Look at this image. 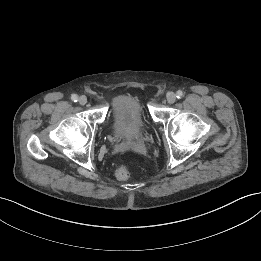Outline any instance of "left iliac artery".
Listing matches in <instances>:
<instances>
[{"label": "left iliac artery", "mask_w": 261, "mask_h": 261, "mask_svg": "<svg viewBox=\"0 0 261 261\" xmlns=\"http://www.w3.org/2000/svg\"><path fill=\"white\" fill-rule=\"evenodd\" d=\"M176 97L178 98V99H180V98H182L183 97V92L182 91H177L176 92Z\"/></svg>", "instance_id": "44dca946"}]
</instances>
